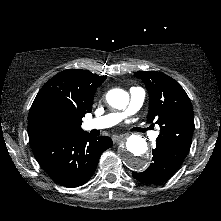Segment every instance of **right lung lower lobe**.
<instances>
[{
  "label": "right lung lower lobe",
  "mask_w": 221,
  "mask_h": 221,
  "mask_svg": "<svg viewBox=\"0 0 221 221\" xmlns=\"http://www.w3.org/2000/svg\"><path fill=\"white\" fill-rule=\"evenodd\" d=\"M30 145L51 179L67 187H78L92 177L100 155L112 146V140L82 133L39 140Z\"/></svg>",
  "instance_id": "98d812e1"
}]
</instances>
